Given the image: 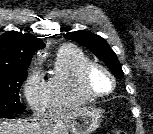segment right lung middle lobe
Instances as JSON below:
<instances>
[{
  "label": "right lung middle lobe",
  "instance_id": "right-lung-middle-lobe-1",
  "mask_svg": "<svg viewBox=\"0 0 153 134\" xmlns=\"http://www.w3.org/2000/svg\"><path fill=\"white\" fill-rule=\"evenodd\" d=\"M27 71L0 72V114H15L24 110L19 91Z\"/></svg>",
  "mask_w": 153,
  "mask_h": 134
}]
</instances>
